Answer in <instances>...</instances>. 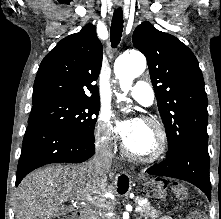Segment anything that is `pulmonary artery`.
<instances>
[{
  "label": "pulmonary artery",
  "instance_id": "1",
  "mask_svg": "<svg viewBox=\"0 0 221 219\" xmlns=\"http://www.w3.org/2000/svg\"><path fill=\"white\" fill-rule=\"evenodd\" d=\"M128 93L138 103L145 107L153 104L154 95L151 87L143 82H138L133 88L128 90Z\"/></svg>",
  "mask_w": 221,
  "mask_h": 219
}]
</instances>
